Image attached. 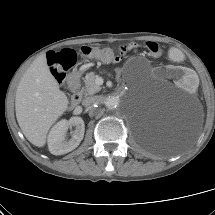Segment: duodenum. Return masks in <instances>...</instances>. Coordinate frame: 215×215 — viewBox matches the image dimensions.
Listing matches in <instances>:
<instances>
[{
  "label": "duodenum",
  "instance_id": "duodenum-1",
  "mask_svg": "<svg viewBox=\"0 0 215 215\" xmlns=\"http://www.w3.org/2000/svg\"><path fill=\"white\" fill-rule=\"evenodd\" d=\"M68 84L72 91L69 106L70 108H74L81 101L80 75L78 73H72L68 78Z\"/></svg>",
  "mask_w": 215,
  "mask_h": 215
}]
</instances>
